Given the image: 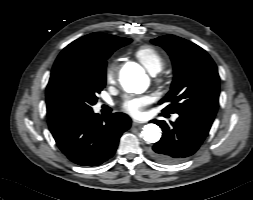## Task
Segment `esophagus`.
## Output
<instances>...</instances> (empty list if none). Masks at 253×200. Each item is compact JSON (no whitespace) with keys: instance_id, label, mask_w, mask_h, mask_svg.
<instances>
[{"instance_id":"1","label":"esophagus","mask_w":253,"mask_h":200,"mask_svg":"<svg viewBox=\"0 0 253 200\" xmlns=\"http://www.w3.org/2000/svg\"><path fill=\"white\" fill-rule=\"evenodd\" d=\"M142 123L138 122V121H133L132 126L136 127V126H141Z\"/></svg>"}]
</instances>
